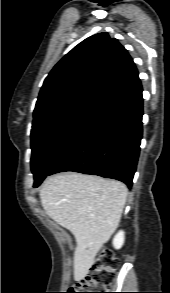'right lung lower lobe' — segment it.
<instances>
[{
    "instance_id": "1",
    "label": "right lung lower lobe",
    "mask_w": 170,
    "mask_h": 293,
    "mask_svg": "<svg viewBox=\"0 0 170 293\" xmlns=\"http://www.w3.org/2000/svg\"><path fill=\"white\" fill-rule=\"evenodd\" d=\"M142 115L139 87L107 105L86 133L55 163L49 175L74 171L117 179L131 187L140 152Z\"/></svg>"
}]
</instances>
